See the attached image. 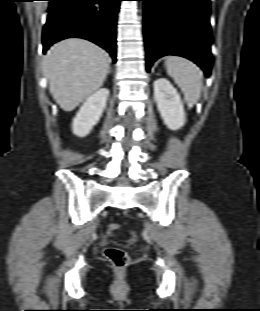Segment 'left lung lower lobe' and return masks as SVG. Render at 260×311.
<instances>
[{
    "mask_svg": "<svg viewBox=\"0 0 260 311\" xmlns=\"http://www.w3.org/2000/svg\"><path fill=\"white\" fill-rule=\"evenodd\" d=\"M141 1H144L147 72L158 58L177 55L192 60L209 76L212 67L209 0Z\"/></svg>",
    "mask_w": 260,
    "mask_h": 311,
    "instance_id": "0a47b994",
    "label": "left lung lower lobe"
}]
</instances>
